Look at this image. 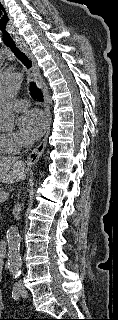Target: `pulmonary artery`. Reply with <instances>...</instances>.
<instances>
[{
    "label": "pulmonary artery",
    "instance_id": "e3ab8cb5",
    "mask_svg": "<svg viewBox=\"0 0 118 320\" xmlns=\"http://www.w3.org/2000/svg\"><path fill=\"white\" fill-rule=\"evenodd\" d=\"M12 105L16 111H23L29 106V102L25 99H20L15 100Z\"/></svg>",
    "mask_w": 118,
    "mask_h": 320
}]
</instances>
